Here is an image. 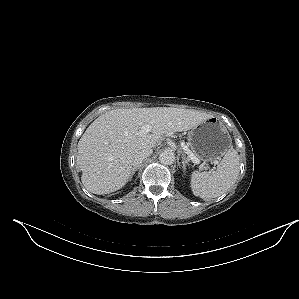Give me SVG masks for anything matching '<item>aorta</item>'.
Masks as SVG:
<instances>
[{"mask_svg":"<svg viewBox=\"0 0 299 299\" xmlns=\"http://www.w3.org/2000/svg\"><path fill=\"white\" fill-rule=\"evenodd\" d=\"M159 161L164 165H171L175 161V155L171 150H164L159 155Z\"/></svg>","mask_w":299,"mask_h":299,"instance_id":"obj_1","label":"aorta"}]
</instances>
